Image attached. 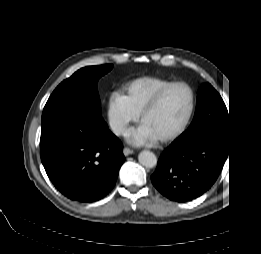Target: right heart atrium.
<instances>
[{"label":"right heart atrium","mask_w":261,"mask_h":254,"mask_svg":"<svg viewBox=\"0 0 261 254\" xmlns=\"http://www.w3.org/2000/svg\"><path fill=\"white\" fill-rule=\"evenodd\" d=\"M108 117L112 131L124 135L130 124L138 119V113L132 108L127 95L116 92L109 101Z\"/></svg>","instance_id":"right-heart-atrium-1"}]
</instances>
